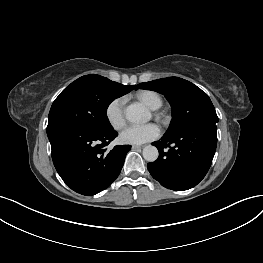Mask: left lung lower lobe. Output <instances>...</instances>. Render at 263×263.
I'll use <instances>...</instances> for the list:
<instances>
[{
	"label": "left lung lower lobe",
	"instance_id": "obj_1",
	"mask_svg": "<svg viewBox=\"0 0 263 263\" xmlns=\"http://www.w3.org/2000/svg\"><path fill=\"white\" fill-rule=\"evenodd\" d=\"M217 127H192L154 142L159 158L147 164L162 186L183 191L196 186L208 172L217 145ZM173 145L171 147L170 145ZM169 147L168 151L164 148Z\"/></svg>",
	"mask_w": 263,
	"mask_h": 263
}]
</instances>
